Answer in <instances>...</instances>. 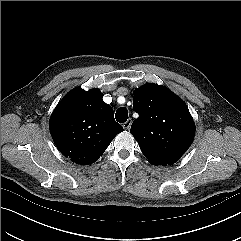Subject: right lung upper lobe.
<instances>
[{
  "label": "right lung upper lobe",
  "mask_w": 241,
  "mask_h": 241,
  "mask_svg": "<svg viewBox=\"0 0 241 241\" xmlns=\"http://www.w3.org/2000/svg\"><path fill=\"white\" fill-rule=\"evenodd\" d=\"M98 89L70 91L50 119V133L58 150L73 162L89 165L104 153L112 139L123 131L114 112Z\"/></svg>",
  "instance_id": "cb5924a9"
}]
</instances>
